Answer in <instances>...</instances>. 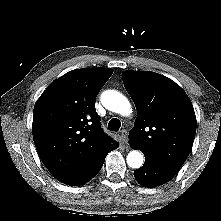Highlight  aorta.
<instances>
[{"mask_svg":"<svg viewBox=\"0 0 221 221\" xmlns=\"http://www.w3.org/2000/svg\"><path fill=\"white\" fill-rule=\"evenodd\" d=\"M101 103L106 109L122 116H128L132 112L128 99L116 90L104 91L101 94ZM126 160L129 167L138 169L143 165L144 155L138 150H132Z\"/></svg>","mask_w":221,"mask_h":221,"instance_id":"aorta-1","label":"aorta"}]
</instances>
